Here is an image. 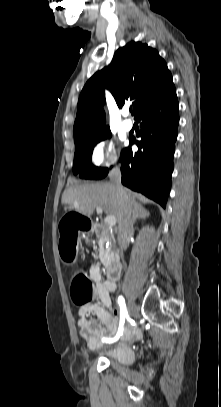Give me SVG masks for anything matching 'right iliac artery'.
<instances>
[{
  "label": "right iliac artery",
  "mask_w": 221,
  "mask_h": 407,
  "mask_svg": "<svg viewBox=\"0 0 221 407\" xmlns=\"http://www.w3.org/2000/svg\"><path fill=\"white\" fill-rule=\"evenodd\" d=\"M118 304L120 306V322H119L118 332H117L116 336L113 338H104L103 341L107 342V343H113V342L118 341V339L120 338V336L123 333L125 317L127 316L128 313H127V309H126L125 300L122 296H119Z\"/></svg>",
  "instance_id": "1"
}]
</instances>
